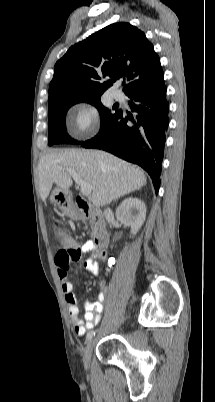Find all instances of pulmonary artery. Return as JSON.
I'll return each mask as SVG.
<instances>
[{"label":"pulmonary artery","instance_id":"1","mask_svg":"<svg viewBox=\"0 0 215 402\" xmlns=\"http://www.w3.org/2000/svg\"><path fill=\"white\" fill-rule=\"evenodd\" d=\"M112 96H113L114 99H116V100H118V101H121V100L123 99V94H122V92L119 91V90L113 91V92H112Z\"/></svg>","mask_w":215,"mask_h":402}]
</instances>
